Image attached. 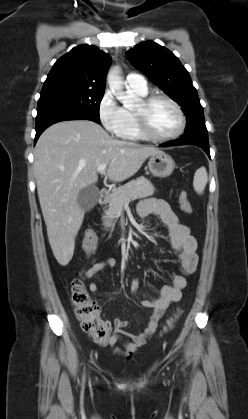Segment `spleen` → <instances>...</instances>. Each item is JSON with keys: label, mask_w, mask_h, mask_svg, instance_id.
Instances as JSON below:
<instances>
[{"label": "spleen", "mask_w": 248, "mask_h": 419, "mask_svg": "<svg viewBox=\"0 0 248 419\" xmlns=\"http://www.w3.org/2000/svg\"><path fill=\"white\" fill-rule=\"evenodd\" d=\"M208 181V175L205 167L196 170L194 174L193 187L198 194H202Z\"/></svg>", "instance_id": "spleen-1"}]
</instances>
